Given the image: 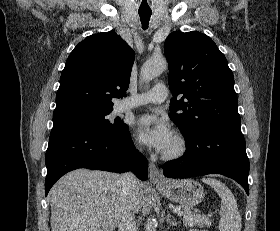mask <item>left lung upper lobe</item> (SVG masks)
<instances>
[{
  "label": "left lung upper lobe",
  "instance_id": "5c2ea615",
  "mask_svg": "<svg viewBox=\"0 0 280 231\" xmlns=\"http://www.w3.org/2000/svg\"><path fill=\"white\" fill-rule=\"evenodd\" d=\"M164 53L173 95L169 116L184 137L212 125L241 124L233 73L210 37L173 32Z\"/></svg>",
  "mask_w": 280,
  "mask_h": 231
}]
</instances>
